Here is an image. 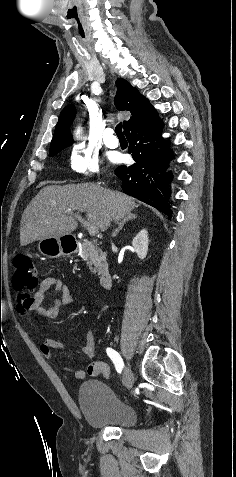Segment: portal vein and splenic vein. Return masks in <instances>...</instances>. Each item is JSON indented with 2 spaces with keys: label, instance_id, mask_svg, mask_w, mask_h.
I'll use <instances>...</instances> for the list:
<instances>
[{
  "label": "portal vein and splenic vein",
  "instance_id": "portal-vein-and-splenic-vein-1",
  "mask_svg": "<svg viewBox=\"0 0 236 477\" xmlns=\"http://www.w3.org/2000/svg\"><path fill=\"white\" fill-rule=\"evenodd\" d=\"M68 213H70V209L68 210ZM71 215H72L73 217H75L76 219H78L80 222H83V223L86 225V227H87V229H88L90 235L95 236V235L98 233L99 229H98V227H97L96 225L86 223V222L84 221V219H83L81 216L77 215V214H71Z\"/></svg>",
  "mask_w": 236,
  "mask_h": 477
}]
</instances>
